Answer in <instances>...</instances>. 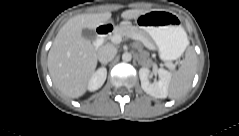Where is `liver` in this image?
Instances as JSON below:
<instances>
[{
    "instance_id": "6515ba94",
    "label": "liver",
    "mask_w": 239,
    "mask_h": 136,
    "mask_svg": "<svg viewBox=\"0 0 239 136\" xmlns=\"http://www.w3.org/2000/svg\"><path fill=\"white\" fill-rule=\"evenodd\" d=\"M143 10H127L126 20L136 19ZM110 12L80 14L70 18L56 35L48 53V70L55 87L69 98L85 94L90 77L97 66V52L90 41L82 37L84 28L95 29L111 18Z\"/></svg>"
}]
</instances>
